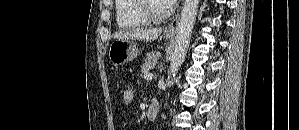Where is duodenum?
<instances>
[{"mask_svg": "<svg viewBox=\"0 0 299 130\" xmlns=\"http://www.w3.org/2000/svg\"><path fill=\"white\" fill-rule=\"evenodd\" d=\"M159 113V106L158 103L153 100L149 103L148 109H147V118L150 122H153L157 119Z\"/></svg>", "mask_w": 299, "mask_h": 130, "instance_id": "obj_1", "label": "duodenum"}]
</instances>
